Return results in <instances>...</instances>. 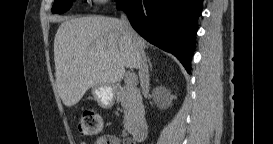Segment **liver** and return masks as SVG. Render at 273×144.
<instances>
[{
	"label": "liver",
	"instance_id": "liver-1",
	"mask_svg": "<svg viewBox=\"0 0 273 144\" xmlns=\"http://www.w3.org/2000/svg\"><path fill=\"white\" fill-rule=\"evenodd\" d=\"M54 61L59 96L67 107L76 105L90 88L115 87L125 67L138 68L133 38L119 19L102 16L61 23L54 39Z\"/></svg>",
	"mask_w": 273,
	"mask_h": 144
}]
</instances>
